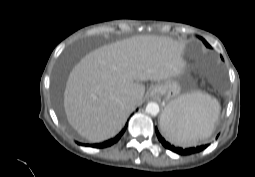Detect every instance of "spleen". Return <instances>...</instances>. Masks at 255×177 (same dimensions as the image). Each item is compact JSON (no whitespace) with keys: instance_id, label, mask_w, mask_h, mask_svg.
<instances>
[{"instance_id":"spleen-1","label":"spleen","mask_w":255,"mask_h":177,"mask_svg":"<svg viewBox=\"0 0 255 177\" xmlns=\"http://www.w3.org/2000/svg\"><path fill=\"white\" fill-rule=\"evenodd\" d=\"M170 110L161 124L165 137L173 144L194 146L211 136L220 113L219 102L209 94L193 92L169 103Z\"/></svg>"}]
</instances>
